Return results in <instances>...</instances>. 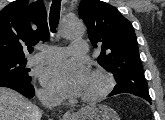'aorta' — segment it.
I'll list each match as a JSON object with an SVG mask.
<instances>
[{
  "instance_id": "obj_1",
  "label": "aorta",
  "mask_w": 165,
  "mask_h": 120,
  "mask_svg": "<svg viewBox=\"0 0 165 120\" xmlns=\"http://www.w3.org/2000/svg\"><path fill=\"white\" fill-rule=\"evenodd\" d=\"M61 33L65 38H79L84 33V24L76 17L64 20L61 26Z\"/></svg>"
}]
</instances>
